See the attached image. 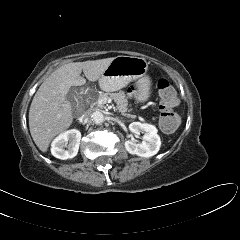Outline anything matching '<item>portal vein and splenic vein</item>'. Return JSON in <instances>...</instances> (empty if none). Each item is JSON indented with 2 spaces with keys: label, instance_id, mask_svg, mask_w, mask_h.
I'll use <instances>...</instances> for the list:
<instances>
[{
  "label": "portal vein and splenic vein",
  "instance_id": "1",
  "mask_svg": "<svg viewBox=\"0 0 240 240\" xmlns=\"http://www.w3.org/2000/svg\"><path fill=\"white\" fill-rule=\"evenodd\" d=\"M110 102H111V99H107V98H104V97L98 98V100H97V103L100 104V105L110 103Z\"/></svg>",
  "mask_w": 240,
  "mask_h": 240
}]
</instances>
